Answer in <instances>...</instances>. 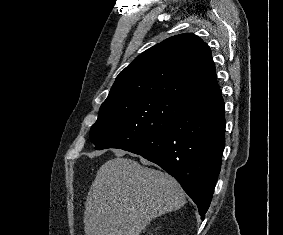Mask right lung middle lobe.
<instances>
[{"label":"right lung middle lobe","mask_w":283,"mask_h":235,"mask_svg":"<svg viewBox=\"0 0 283 235\" xmlns=\"http://www.w3.org/2000/svg\"><path fill=\"white\" fill-rule=\"evenodd\" d=\"M182 102L170 98H129L100 108L90 131L95 149H125L165 129L180 113Z\"/></svg>","instance_id":"dd1d6c3e"}]
</instances>
